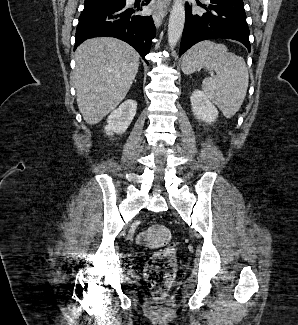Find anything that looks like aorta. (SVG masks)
I'll return each instance as SVG.
<instances>
[{
    "label": "aorta",
    "mask_w": 298,
    "mask_h": 325,
    "mask_svg": "<svg viewBox=\"0 0 298 325\" xmlns=\"http://www.w3.org/2000/svg\"><path fill=\"white\" fill-rule=\"evenodd\" d=\"M185 24V4L181 0H174L170 10L167 30L168 44L173 50L179 42Z\"/></svg>",
    "instance_id": "762f6f07"
}]
</instances>
